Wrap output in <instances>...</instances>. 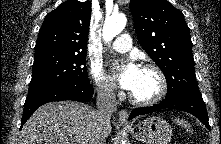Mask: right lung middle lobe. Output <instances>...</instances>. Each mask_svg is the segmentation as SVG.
I'll list each match as a JSON object with an SVG mask.
<instances>
[{"mask_svg":"<svg viewBox=\"0 0 221 144\" xmlns=\"http://www.w3.org/2000/svg\"><path fill=\"white\" fill-rule=\"evenodd\" d=\"M86 53L41 52L35 54L27 98L58 84H89Z\"/></svg>","mask_w":221,"mask_h":144,"instance_id":"1","label":"right lung middle lobe"}]
</instances>
